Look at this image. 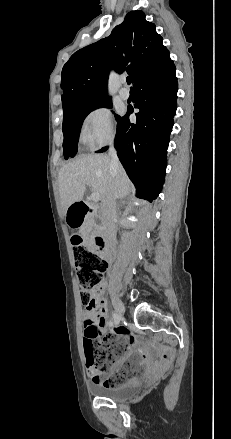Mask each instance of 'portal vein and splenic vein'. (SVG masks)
Masks as SVG:
<instances>
[{
  "instance_id": "18ae733b",
  "label": "portal vein and splenic vein",
  "mask_w": 231,
  "mask_h": 439,
  "mask_svg": "<svg viewBox=\"0 0 231 439\" xmlns=\"http://www.w3.org/2000/svg\"><path fill=\"white\" fill-rule=\"evenodd\" d=\"M91 200L97 202L100 200V194L97 192H93L90 196Z\"/></svg>"
}]
</instances>
